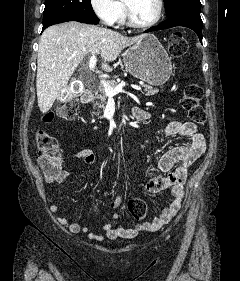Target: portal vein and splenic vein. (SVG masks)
I'll use <instances>...</instances> for the list:
<instances>
[{"label":"portal vein and splenic vein","instance_id":"1","mask_svg":"<svg viewBox=\"0 0 240 281\" xmlns=\"http://www.w3.org/2000/svg\"><path fill=\"white\" fill-rule=\"evenodd\" d=\"M96 56L92 55L89 59V69L90 70H94L95 65H96ZM102 86L104 87V91L107 97L112 98L114 97L116 94L118 93H122L124 92L123 87L125 86L124 83H121L119 85H117L116 87H112L107 81H105L104 79H102L101 81ZM134 89L141 91L140 87H134L132 86Z\"/></svg>","mask_w":240,"mask_h":281}]
</instances>
